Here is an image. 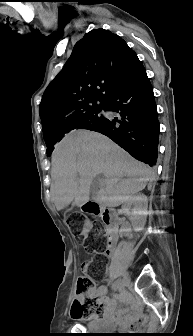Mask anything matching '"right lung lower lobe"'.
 I'll use <instances>...</instances> for the list:
<instances>
[{
  "instance_id": "1",
  "label": "right lung lower lobe",
  "mask_w": 193,
  "mask_h": 336,
  "mask_svg": "<svg viewBox=\"0 0 193 336\" xmlns=\"http://www.w3.org/2000/svg\"><path fill=\"white\" fill-rule=\"evenodd\" d=\"M104 110L116 112L119 118L107 119L96 132L108 136L136 159L154 166L160 127L153 89L140 61L119 82Z\"/></svg>"
}]
</instances>
